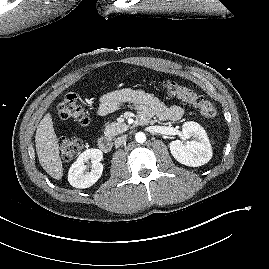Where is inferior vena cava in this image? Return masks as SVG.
<instances>
[{
  "mask_svg": "<svg viewBox=\"0 0 269 269\" xmlns=\"http://www.w3.org/2000/svg\"><path fill=\"white\" fill-rule=\"evenodd\" d=\"M127 139V136L126 135H122L120 137H118L116 140H115V146H120L122 145Z\"/></svg>",
  "mask_w": 269,
  "mask_h": 269,
  "instance_id": "602c4592",
  "label": "inferior vena cava"
}]
</instances>
